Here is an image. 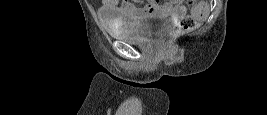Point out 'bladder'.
<instances>
[{"label":"bladder","mask_w":267,"mask_h":115,"mask_svg":"<svg viewBox=\"0 0 267 115\" xmlns=\"http://www.w3.org/2000/svg\"><path fill=\"white\" fill-rule=\"evenodd\" d=\"M167 22V16L152 13L140 16L133 23L106 26V30L116 39L144 42L160 32Z\"/></svg>","instance_id":"1"}]
</instances>
